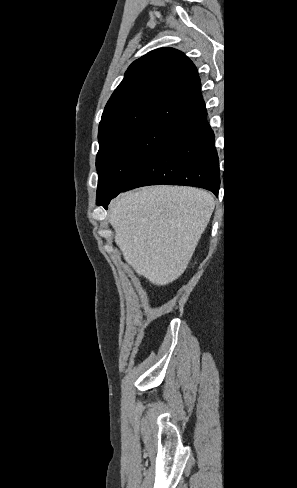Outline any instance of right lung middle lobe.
Masks as SVG:
<instances>
[{
  "mask_svg": "<svg viewBox=\"0 0 297 488\" xmlns=\"http://www.w3.org/2000/svg\"><path fill=\"white\" fill-rule=\"evenodd\" d=\"M170 132L165 128L140 127L100 142L96 204L102 205L118 195Z\"/></svg>",
  "mask_w": 297,
  "mask_h": 488,
  "instance_id": "1",
  "label": "right lung middle lobe"
}]
</instances>
